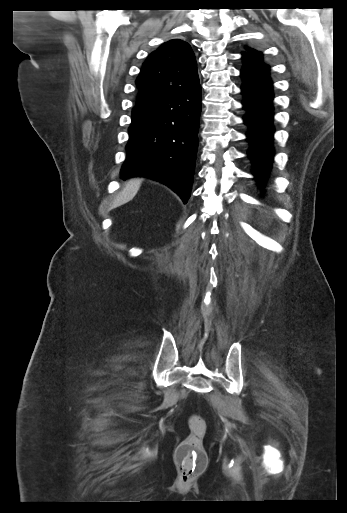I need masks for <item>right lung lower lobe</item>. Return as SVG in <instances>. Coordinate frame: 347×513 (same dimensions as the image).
Returning <instances> with one entry per match:
<instances>
[{
  "instance_id": "1",
  "label": "right lung lower lobe",
  "mask_w": 347,
  "mask_h": 513,
  "mask_svg": "<svg viewBox=\"0 0 347 513\" xmlns=\"http://www.w3.org/2000/svg\"><path fill=\"white\" fill-rule=\"evenodd\" d=\"M200 113V86L137 103L132 110L121 178H152L169 186L186 203L193 182Z\"/></svg>"
}]
</instances>
